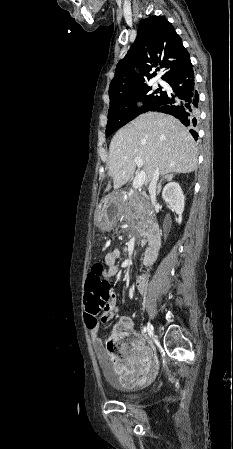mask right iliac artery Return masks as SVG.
Instances as JSON below:
<instances>
[{
    "label": "right iliac artery",
    "mask_w": 233,
    "mask_h": 449,
    "mask_svg": "<svg viewBox=\"0 0 233 449\" xmlns=\"http://www.w3.org/2000/svg\"><path fill=\"white\" fill-rule=\"evenodd\" d=\"M152 327V326H151ZM153 328V327H152ZM146 332H148V334H149V329H148V325H147V327H144L143 328V330H142V333L145 335L146 334ZM150 335V334H149Z\"/></svg>",
    "instance_id": "1"
}]
</instances>
